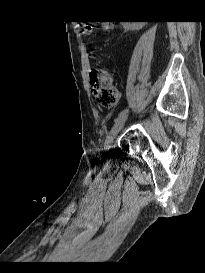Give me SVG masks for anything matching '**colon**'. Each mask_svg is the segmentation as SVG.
<instances>
[{
	"label": "colon",
	"mask_w": 205,
	"mask_h": 273,
	"mask_svg": "<svg viewBox=\"0 0 205 273\" xmlns=\"http://www.w3.org/2000/svg\"><path fill=\"white\" fill-rule=\"evenodd\" d=\"M104 24H111V20H106ZM80 28L83 34H88L92 30L89 24H81ZM90 88L95 101L102 107H112L120 99V91L114 84L112 76L99 66L90 72Z\"/></svg>",
	"instance_id": "1"
}]
</instances>
